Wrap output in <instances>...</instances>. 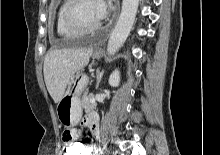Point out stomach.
<instances>
[{
	"label": "stomach",
	"mask_w": 220,
	"mask_h": 155,
	"mask_svg": "<svg viewBox=\"0 0 220 155\" xmlns=\"http://www.w3.org/2000/svg\"><path fill=\"white\" fill-rule=\"evenodd\" d=\"M99 53L94 58H99ZM89 79L86 75H79L69 82L65 95L57 105L56 113L59 122L63 126H76L82 117V103L80 95L88 85Z\"/></svg>",
	"instance_id": "obj_1"
}]
</instances>
